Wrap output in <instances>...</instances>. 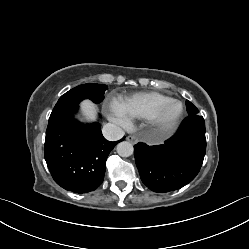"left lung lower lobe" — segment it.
Returning a JSON list of instances; mask_svg holds the SVG:
<instances>
[{
	"label": "left lung lower lobe",
	"mask_w": 249,
	"mask_h": 249,
	"mask_svg": "<svg viewBox=\"0 0 249 249\" xmlns=\"http://www.w3.org/2000/svg\"><path fill=\"white\" fill-rule=\"evenodd\" d=\"M205 152V122L198 114L186 117L164 144L134 146L142 182L159 193L180 189L191 182L202 166Z\"/></svg>",
	"instance_id": "0a47b994"
}]
</instances>
